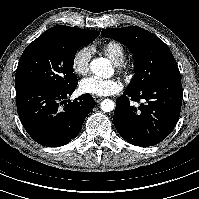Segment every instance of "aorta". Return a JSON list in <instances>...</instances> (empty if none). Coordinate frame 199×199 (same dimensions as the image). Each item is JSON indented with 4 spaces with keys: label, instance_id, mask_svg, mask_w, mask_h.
I'll return each mask as SVG.
<instances>
[{
    "label": "aorta",
    "instance_id": "obj_1",
    "mask_svg": "<svg viewBox=\"0 0 199 199\" xmlns=\"http://www.w3.org/2000/svg\"><path fill=\"white\" fill-rule=\"evenodd\" d=\"M91 71L98 77H107L111 71L110 62L105 58H96L90 63ZM115 108L114 102L110 99H105L101 102V110L111 112Z\"/></svg>",
    "mask_w": 199,
    "mask_h": 199
}]
</instances>
